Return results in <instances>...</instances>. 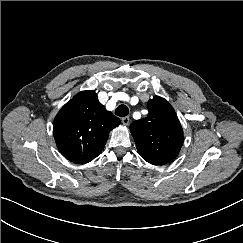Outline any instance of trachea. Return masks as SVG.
<instances>
[{
	"label": "trachea",
	"mask_w": 243,
	"mask_h": 243,
	"mask_svg": "<svg viewBox=\"0 0 243 243\" xmlns=\"http://www.w3.org/2000/svg\"><path fill=\"white\" fill-rule=\"evenodd\" d=\"M129 113L128 107L126 105H119L116 110L115 114L119 117H125Z\"/></svg>",
	"instance_id": "3493384b"
}]
</instances>
